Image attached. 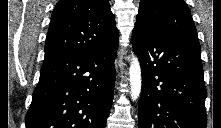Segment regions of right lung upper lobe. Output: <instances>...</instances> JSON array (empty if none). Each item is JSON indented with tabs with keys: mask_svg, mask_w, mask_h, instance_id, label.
<instances>
[{
	"mask_svg": "<svg viewBox=\"0 0 221 128\" xmlns=\"http://www.w3.org/2000/svg\"><path fill=\"white\" fill-rule=\"evenodd\" d=\"M118 34L107 0H60L51 16L44 62L101 49L117 41Z\"/></svg>",
	"mask_w": 221,
	"mask_h": 128,
	"instance_id": "1",
	"label": "right lung upper lobe"
}]
</instances>
